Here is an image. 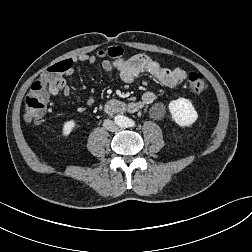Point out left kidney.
<instances>
[{
    "label": "left kidney",
    "instance_id": "obj_1",
    "mask_svg": "<svg viewBox=\"0 0 252 252\" xmlns=\"http://www.w3.org/2000/svg\"><path fill=\"white\" fill-rule=\"evenodd\" d=\"M168 108L172 119L181 127L193 124L198 118L196 110L188 99L173 100L169 103Z\"/></svg>",
    "mask_w": 252,
    "mask_h": 252
}]
</instances>
